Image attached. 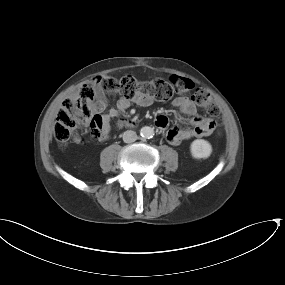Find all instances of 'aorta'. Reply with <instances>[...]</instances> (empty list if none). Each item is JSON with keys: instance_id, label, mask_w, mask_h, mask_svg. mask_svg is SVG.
Returning a JSON list of instances; mask_svg holds the SVG:
<instances>
[{"instance_id": "aorta-1", "label": "aorta", "mask_w": 285, "mask_h": 285, "mask_svg": "<svg viewBox=\"0 0 285 285\" xmlns=\"http://www.w3.org/2000/svg\"><path fill=\"white\" fill-rule=\"evenodd\" d=\"M140 135L143 137V138H146V139H150L153 137L154 135V130L153 128L149 127V126H144L141 128L140 130Z\"/></svg>"}]
</instances>
